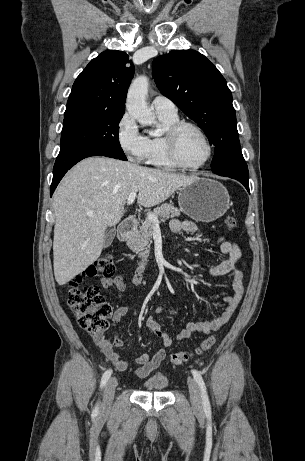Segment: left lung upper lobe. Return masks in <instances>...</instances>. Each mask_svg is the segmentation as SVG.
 Instances as JSON below:
<instances>
[{
  "instance_id": "left-lung-upper-lobe-1",
  "label": "left lung upper lobe",
  "mask_w": 305,
  "mask_h": 461,
  "mask_svg": "<svg viewBox=\"0 0 305 461\" xmlns=\"http://www.w3.org/2000/svg\"><path fill=\"white\" fill-rule=\"evenodd\" d=\"M152 68L160 92L199 124L215 146L212 172L249 177L232 94L218 69L194 50H174L159 56Z\"/></svg>"
}]
</instances>
